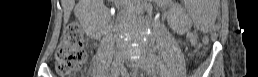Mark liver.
Instances as JSON below:
<instances>
[{
	"label": "liver",
	"instance_id": "obj_1",
	"mask_svg": "<svg viewBox=\"0 0 258 77\" xmlns=\"http://www.w3.org/2000/svg\"><path fill=\"white\" fill-rule=\"evenodd\" d=\"M102 3L101 0H81L79 3V9H81L86 4ZM61 4L64 10V20L68 21L71 11L75 5V0H61Z\"/></svg>",
	"mask_w": 258,
	"mask_h": 77
}]
</instances>
